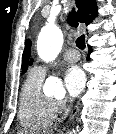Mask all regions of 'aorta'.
Masks as SVG:
<instances>
[{"instance_id":"762f6f07","label":"aorta","mask_w":116,"mask_h":134,"mask_svg":"<svg viewBox=\"0 0 116 134\" xmlns=\"http://www.w3.org/2000/svg\"><path fill=\"white\" fill-rule=\"evenodd\" d=\"M63 34L53 22H48L41 30L37 40L38 55L44 61L54 59L61 51ZM45 90L57 95L64 93L62 81L56 76H49L45 82Z\"/></svg>"}]
</instances>
